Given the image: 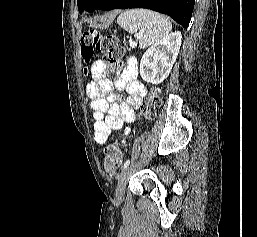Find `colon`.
I'll use <instances>...</instances> for the list:
<instances>
[{"label": "colon", "instance_id": "1", "mask_svg": "<svg viewBox=\"0 0 257 237\" xmlns=\"http://www.w3.org/2000/svg\"><path fill=\"white\" fill-rule=\"evenodd\" d=\"M95 53L102 55L105 62L110 66L109 75L115 77L122 67V58L125 50L118 44L114 35H104L100 31L90 29L82 37L81 55L85 61H90ZM161 104L159 91L153 89L148 100L141 106V117L152 119L155 111ZM123 161V154L117 144H111L105 154L104 169L108 173H116Z\"/></svg>", "mask_w": 257, "mask_h": 237}]
</instances>
